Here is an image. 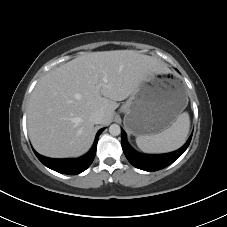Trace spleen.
<instances>
[{"mask_svg": "<svg viewBox=\"0 0 227 227\" xmlns=\"http://www.w3.org/2000/svg\"><path fill=\"white\" fill-rule=\"evenodd\" d=\"M189 128V114L183 112L169 128L156 135L138 136L136 143L142 151L147 153L171 152L185 143Z\"/></svg>", "mask_w": 227, "mask_h": 227, "instance_id": "1", "label": "spleen"}]
</instances>
